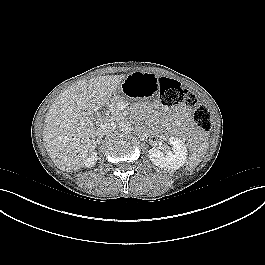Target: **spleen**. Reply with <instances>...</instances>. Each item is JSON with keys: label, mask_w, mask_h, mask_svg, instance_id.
I'll list each match as a JSON object with an SVG mask.
<instances>
[{"label": "spleen", "mask_w": 265, "mask_h": 265, "mask_svg": "<svg viewBox=\"0 0 265 265\" xmlns=\"http://www.w3.org/2000/svg\"><path fill=\"white\" fill-rule=\"evenodd\" d=\"M208 146L207 142H203L193 153H191L186 161V166L188 168L197 166L207 152Z\"/></svg>", "instance_id": "3e777b00"}]
</instances>
